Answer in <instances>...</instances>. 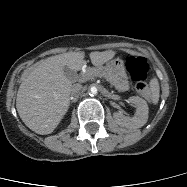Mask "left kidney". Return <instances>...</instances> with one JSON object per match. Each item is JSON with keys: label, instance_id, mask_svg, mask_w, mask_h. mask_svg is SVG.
Instances as JSON below:
<instances>
[{"label": "left kidney", "instance_id": "1", "mask_svg": "<svg viewBox=\"0 0 187 187\" xmlns=\"http://www.w3.org/2000/svg\"><path fill=\"white\" fill-rule=\"evenodd\" d=\"M128 103L134 104L136 112L132 118H128L120 113H114V119L117 124L127 128H140L144 126L148 119V105L140 97H129Z\"/></svg>", "mask_w": 187, "mask_h": 187}]
</instances>
